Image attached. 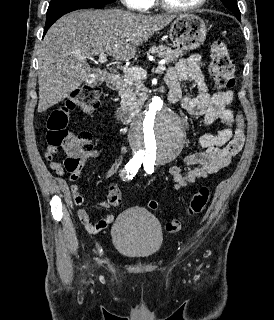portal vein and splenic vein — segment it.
Instances as JSON below:
<instances>
[{
	"mask_svg": "<svg viewBox=\"0 0 274 320\" xmlns=\"http://www.w3.org/2000/svg\"><path fill=\"white\" fill-rule=\"evenodd\" d=\"M84 60V58H82ZM107 54H99L98 64H106ZM116 62H111V64H107V66H115ZM160 70H165L166 60H161L158 62ZM119 70H123L124 74H132L134 78H145L147 72L146 70H141V68H127V66H117Z\"/></svg>",
	"mask_w": 274,
	"mask_h": 320,
	"instance_id": "obj_1",
	"label": "portal vein and splenic vein"
}]
</instances>
